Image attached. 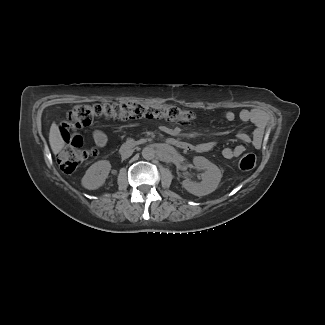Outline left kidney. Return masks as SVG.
I'll list each match as a JSON object with an SVG mask.
<instances>
[{"label": "left kidney", "instance_id": "5707ae66", "mask_svg": "<svg viewBox=\"0 0 325 325\" xmlns=\"http://www.w3.org/2000/svg\"><path fill=\"white\" fill-rule=\"evenodd\" d=\"M193 163L196 167H201L205 170L201 174V182H193L185 179L182 186L191 194L195 196H205L216 190L221 178L222 172L217 165L202 156H195Z\"/></svg>", "mask_w": 325, "mask_h": 325}]
</instances>
